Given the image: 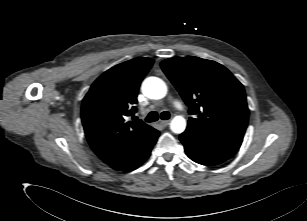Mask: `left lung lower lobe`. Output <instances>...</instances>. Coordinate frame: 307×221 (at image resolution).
Returning a JSON list of instances; mask_svg holds the SVG:
<instances>
[{"instance_id":"1","label":"left lung lower lobe","mask_w":307,"mask_h":221,"mask_svg":"<svg viewBox=\"0 0 307 221\" xmlns=\"http://www.w3.org/2000/svg\"><path fill=\"white\" fill-rule=\"evenodd\" d=\"M187 156L202 165H218L230 159L240 148L243 138L208 132L187 126L180 135Z\"/></svg>"}]
</instances>
